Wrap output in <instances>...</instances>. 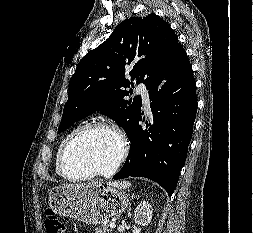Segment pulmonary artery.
I'll list each match as a JSON object with an SVG mask.
<instances>
[{
	"label": "pulmonary artery",
	"instance_id": "1",
	"mask_svg": "<svg viewBox=\"0 0 253 233\" xmlns=\"http://www.w3.org/2000/svg\"><path fill=\"white\" fill-rule=\"evenodd\" d=\"M136 93L141 95L144 105L148 108L150 104V97L147 87L144 84L137 85Z\"/></svg>",
	"mask_w": 253,
	"mask_h": 233
}]
</instances>
